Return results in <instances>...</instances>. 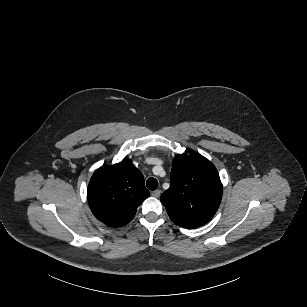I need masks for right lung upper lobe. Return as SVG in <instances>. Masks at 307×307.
I'll list each match as a JSON object with an SVG mask.
<instances>
[{"mask_svg": "<svg viewBox=\"0 0 307 307\" xmlns=\"http://www.w3.org/2000/svg\"><path fill=\"white\" fill-rule=\"evenodd\" d=\"M150 193L141 172L130 159L99 168L92 176L87 197L97 219L111 227L129 223Z\"/></svg>", "mask_w": 307, "mask_h": 307, "instance_id": "1", "label": "right lung upper lobe"}]
</instances>
